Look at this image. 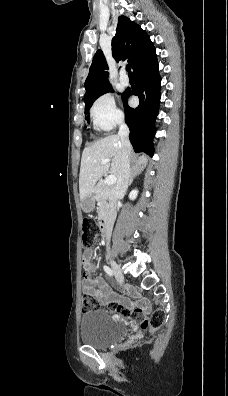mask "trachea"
Masks as SVG:
<instances>
[{
	"mask_svg": "<svg viewBox=\"0 0 228 396\" xmlns=\"http://www.w3.org/2000/svg\"><path fill=\"white\" fill-rule=\"evenodd\" d=\"M126 70H127L129 76H133V73L131 72V67H130V65H127V66H126Z\"/></svg>",
	"mask_w": 228,
	"mask_h": 396,
	"instance_id": "obj_1",
	"label": "trachea"
}]
</instances>
